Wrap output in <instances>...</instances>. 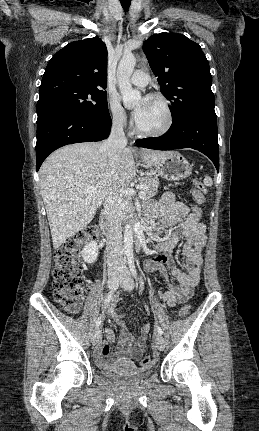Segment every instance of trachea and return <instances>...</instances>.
Returning a JSON list of instances; mask_svg holds the SVG:
<instances>
[{"label":"trachea","mask_w":259,"mask_h":431,"mask_svg":"<svg viewBox=\"0 0 259 431\" xmlns=\"http://www.w3.org/2000/svg\"><path fill=\"white\" fill-rule=\"evenodd\" d=\"M120 2H121V5H122L124 11L127 12L129 7H130L131 0H120Z\"/></svg>","instance_id":"obj_1"}]
</instances>
